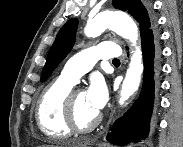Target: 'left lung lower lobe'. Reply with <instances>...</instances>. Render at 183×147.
<instances>
[{
    "mask_svg": "<svg viewBox=\"0 0 183 147\" xmlns=\"http://www.w3.org/2000/svg\"><path fill=\"white\" fill-rule=\"evenodd\" d=\"M141 42L144 62L141 94L124 116L113 124L112 131L107 136L109 142L118 146L145 140L150 125L155 123L153 112L157 107L161 72L159 34L155 25L141 37Z\"/></svg>",
    "mask_w": 183,
    "mask_h": 147,
    "instance_id": "1",
    "label": "left lung lower lobe"
}]
</instances>
